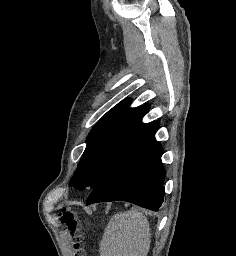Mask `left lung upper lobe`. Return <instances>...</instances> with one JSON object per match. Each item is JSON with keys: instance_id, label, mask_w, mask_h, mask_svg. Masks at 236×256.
Masks as SVG:
<instances>
[{"instance_id": "5c2ea615", "label": "left lung upper lobe", "mask_w": 236, "mask_h": 256, "mask_svg": "<svg viewBox=\"0 0 236 256\" xmlns=\"http://www.w3.org/2000/svg\"><path fill=\"white\" fill-rule=\"evenodd\" d=\"M131 101H122L107 112L93 127L86 148L70 186L77 190L94 189L112 170L118 158L142 128V117L150 106L130 108Z\"/></svg>"}]
</instances>
